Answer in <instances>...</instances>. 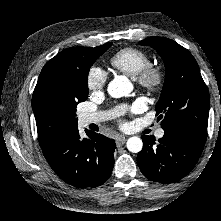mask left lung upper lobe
Returning a JSON list of instances; mask_svg holds the SVG:
<instances>
[{"instance_id": "left-lung-upper-lobe-1", "label": "left lung upper lobe", "mask_w": 221, "mask_h": 221, "mask_svg": "<svg viewBox=\"0 0 221 221\" xmlns=\"http://www.w3.org/2000/svg\"><path fill=\"white\" fill-rule=\"evenodd\" d=\"M139 44L154 48L165 64L164 86L155 107L161 127L206 140L210 99L195 58L168 38L149 37Z\"/></svg>"}]
</instances>
